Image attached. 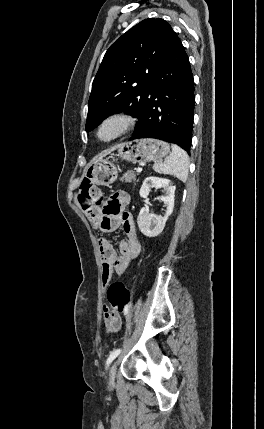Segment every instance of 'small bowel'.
<instances>
[{
	"instance_id": "c3829d8e",
	"label": "small bowel",
	"mask_w": 264,
	"mask_h": 429,
	"mask_svg": "<svg viewBox=\"0 0 264 429\" xmlns=\"http://www.w3.org/2000/svg\"><path fill=\"white\" fill-rule=\"evenodd\" d=\"M130 201L126 191L118 190L113 193L101 207H95L87 213V217L97 229L102 232H113L122 227L126 238L119 243V252L113 248L110 240L106 237L99 239V251L102 261V284L106 288L115 271L123 275L130 262L137 257L140 251V242L136 233L132 215L125 211ZM104 324L108 331L114 333L121 329L122 321L120 314L104 307Z\"/></svg>"
}]
</instances>
